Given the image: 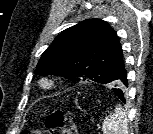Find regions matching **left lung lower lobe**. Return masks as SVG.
<instances>
[{
	"instance_id": "0a47b994",
	"label": "left lung lower lobe",
	"mask_w": 153,
	"mask_h": 134,
	"mask_svg": "<svg viewBox=\"0 0 153 134\" xmlns=\"http://www.w3.org/2000/svg\"><path fill=\"white\" fill-rule=\"evenodd\" d=\"M119 77L123 82L128 85L127 73L125 68L120 72ZM112 91L125 103L124 91L120 89H112Z\"/></svg>"
}]
</instances>
